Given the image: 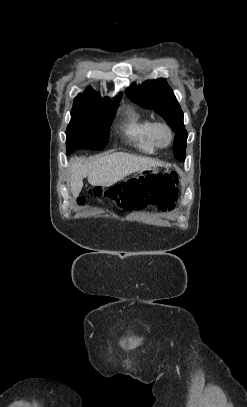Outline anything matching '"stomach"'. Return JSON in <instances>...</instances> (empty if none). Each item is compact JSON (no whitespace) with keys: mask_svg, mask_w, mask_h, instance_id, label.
<instances>
[{"mask_svg":"<svg viewBox=\"0 0 247 407\" xmlns=\"http://www.w3.org/2000/svg\"><path fill=\"white\" fill-rule=\"evenodd\" d=\"M156 169L153 166H141L140 169H135L133 175L135 178H148L153 175Z\"/></svg>","mask_w":247,"mask_h":407,"instance_id":"1","label":"stomach"}]
</instances>
